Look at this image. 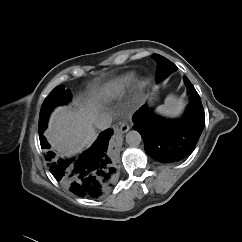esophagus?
I'll list each match as a JSON object with an SVG mask.
<instances>
[{"mask_svg":"<svg viewBox=\"0 0 242 242\" xmlns=\"http://www.w3.org/2000/svg\"><path fill=\"white\" fill-rule=\"evenodd\" d=\"M130 130V126L127 122H123L120 124L119 131L123 134L126 133Z\"/></svg>","mask_w":242,"mask_h":242,"instance_id":"34e87169","label":"esophagus"}]
</instances>
